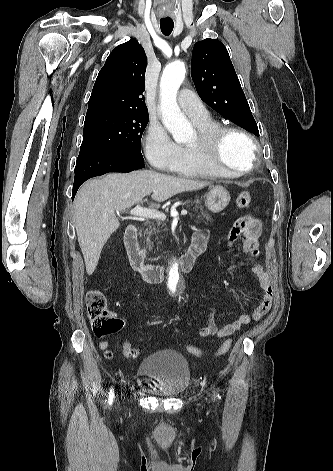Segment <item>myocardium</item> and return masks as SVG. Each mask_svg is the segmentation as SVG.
Returning <instances> with one entry per match:
<instances>
[{
    "mask_svg": "<svg viewBox=\"0 0 333 471\" xmlns=\"http://www.w3.org/2000/svg\"><path fill=\"white\" fill-rule=\"evenodd\" d=\"M230 134L243 137L251 146L252 158L247 167L233 168L225 165L220 159V149L223 140ZM191 149L206 163L217 171L227 175H242L255 168L259 161V147L254 137L246 130L230 125H216L199 130L196 140L190 144Z\"/></svg>",
    "mask_w": 333,
    "mask_h": 471,
    "instance_id": "1",
    "label": "myocardium"
}]
</instances>
